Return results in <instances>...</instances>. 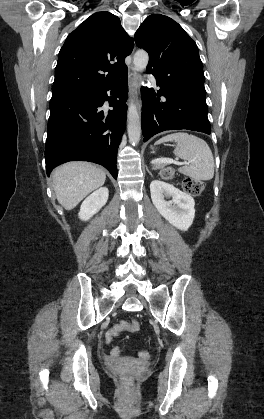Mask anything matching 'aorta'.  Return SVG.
<instances>
[{
  "label": "aorta",
  "instance_id": "aorta-1",
  "mask_svg": "<svg viewBox=\"0 0 264 419\" xmlns=\"http://www.w3.org/2000/svg\"><path fill=\"white\" fill-rule=\"evenodd\" d=\"M149 61V55L146 51L139 50L135 53L133 58L134 70L137 72L143 71ZM127 130L129 141L132 145H136L140 141L141 136V121L137 108L133 102L130 101L127 114Z\"/></svg>",
  "mask_w": 264,
  "mask_h": 419
}]
</instances>
